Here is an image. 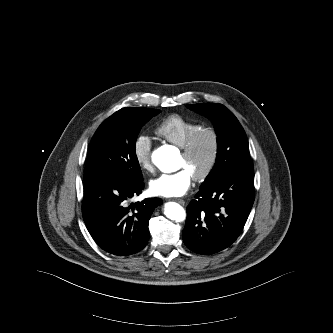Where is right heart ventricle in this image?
I'll return each mask as SVG.
<instances>
[{"label": "right heart ventricle", "instance_id": "right-heart-ventricle-1", "mask_svg": "<svg viewBox=\"0 0 333 333\" xmlns=\"http://www.w3.org/2000/svg\"><path fill=\"white\" fill-rule=\"evenodd\" d=\"M201 125L195 121L173 114L165 118L155 129V133L165 140L182 147L186 140Z\"/></svg>", "mask_w": 333, "mask_h": 333}]
</instances>
